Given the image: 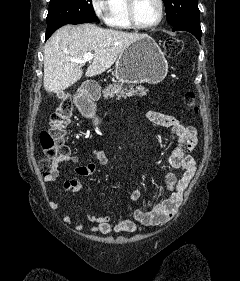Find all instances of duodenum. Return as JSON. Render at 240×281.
<instances>
[{
    "instance_id": "obj_1",
    "label": "duodenum",
    "mask_w": 240,
    "mask_h": 281,
    "mask_svg": "<svg viewBox=\"0 0 240 281\" xmlns=\"http://www.w3.org/2000/svg\"><path fill=\"white\" fill-rule=\"evenodd\" d=\"M99 95L98 88L95 86H86L82 91V98L80 100L81 104L86 103L87 101L95 100Z\"/></svg>"
}]
</instances>
